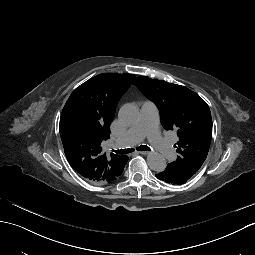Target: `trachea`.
I'll list each match as a JSON object with an SVG mask.
<instances>
[{
  "label": "trachea",
  "mask_w": 255,
  "mask_h": 255,
  "mask_svg": "<svg viewBox=\"0 0 255 255\" xmlns=\"http://www.w3.org/2000/svg\"><path fill=\"white\" fill-rule=\"evenodd\" d=\"M138 151H151V148L148 146H139L137 148ZM116 154H129L134 151V149H121V150H113Z\"/></svg>",
  "instance_id": "1"
}]
</instances>
